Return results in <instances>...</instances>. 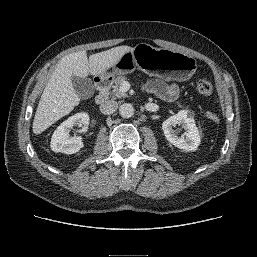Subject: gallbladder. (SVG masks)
Here are the masks:
<instances>
[{
  "mask_svg": "<svg viewBox=\"0 0 257 257\" xmlns=\"http://www.w3.org/2000/svg\"><path fill=\"white\" fill-rule=\"evenodd\" d=\"M73 87L81 99H88L94 94V85L89 78L72 76Z\"/></svg>",
  "mask_w": 257,
  "mask_h": 257,
  "instance_id": "1",
  "label": "gallbladder"
}]
</instances>
